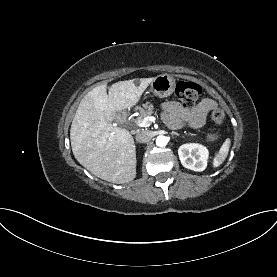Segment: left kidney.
<instances>
[{
    "label": "left kidney",
    "mask_w": 277,
    "mask_h": 277,
    "mask_svg": "<svg viewBox=\"0 0 277 277\" xmlns=\"http://www.w3.org/2000/svg\"><path fill=\"white\" fill-rule=\"evenodd\" d=\"M178 155L181 164L190 170L201 172L207 166L209 152L206 147L197 143L184 144L179 147Z\"/></svg>",
    "instance_id": "5707ae66"
}]
</instances>
